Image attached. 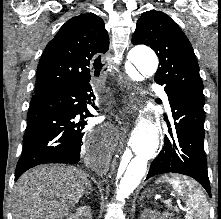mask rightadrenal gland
I'll return each mask as SVG.
<instances>
[{
	"label": "right adrenal gland",
	"mask_w": 221,
	"mask_h": 219,
	"mask_svg": "<svg viewBox=\"0 0 221 219\" xmlns=\"http://www.w3.org/2000/svg\"><path fill=\"white\" fill-rule=\"evenodd\" d=\"M91 192H93V187H92V185L89 183L88 189H87V191H86V196H87L89 193H91ZM88 198H89V197H88Z\"/></svg>",
	"instance_id": "right-adrenal-gland-1"
}]
</instances>
